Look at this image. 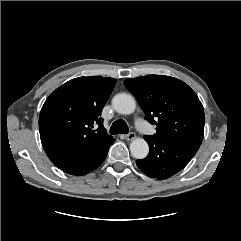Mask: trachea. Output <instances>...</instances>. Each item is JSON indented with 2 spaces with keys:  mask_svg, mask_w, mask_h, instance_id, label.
Listing matches in <instances>:
<instances>
[{
  "mask_svg": "<svg viewBox=\"0 0 241 241\" xmlns=\"http://www.w3.org/2000/svg\"><path fill=\"white\" fill-rule=\"evenodd\" d=\"M128 132L129 128L126 122L122 119L115 121L110 128L111 134H127Z\"/></svg>",
  "mask_w": 241,
  "mask_h": 241,
  "instance_id": "obj_1",
  "label": "trachea"
}]
</instances>
